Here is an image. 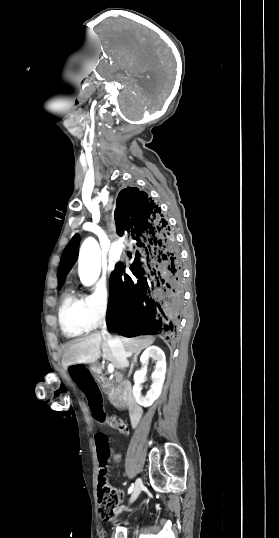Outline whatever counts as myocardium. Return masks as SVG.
<instances>
[{
    "mask_svg": "<svg viewBox=\"0 0 279 538\" xmlns=\"http://www.w3.org/2000/svg\"><path fill=\"white\" fill-rule=\"evenodd\" d=\"M68 208L70 209V207H68ZM90 225H91V223H85V224H84V228H86L87 226H90ZM128 239H129L130 241L134 239V234H133L132 232H130V233L128 234Z\"/></svg>",
    "mask_w": 279,
    "mask_h": 538,
    "instance_id": "1",
    "label": "myocardium"
}]
</instances>
